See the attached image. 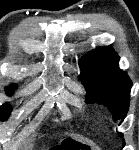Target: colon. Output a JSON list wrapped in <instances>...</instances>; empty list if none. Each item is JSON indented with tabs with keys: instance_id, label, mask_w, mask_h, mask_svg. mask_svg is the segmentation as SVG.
<instances>
[{
	"instance_id": "5ec220e1",
	"label": "colon",
	"mask_w": 139,
	"mask_h": 150,
	"mask_svg": "<svg viewBox=\"0 0 139 150\" xmlns=\"http://www.w3.org/2000/svg\"><path fill=\"white\" fill-rule=\"evenodd\" d=\"M50 150H88V149L80 147L73 141H64L61 145L56 146Z\"/></svg>"
}]
</instances>
